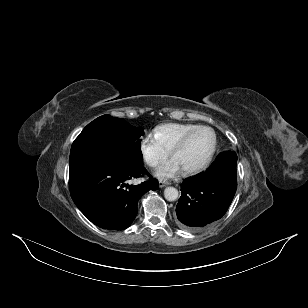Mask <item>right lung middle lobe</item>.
<instances>
[{"label":"right lung middle lobe","instance_id":"right-lung-middle-lobe-1","mask_svg":"<svg viewBox=\"0 0 308 308\" xmlns=\"http://www.w3.org/2000/svg\"><path fill=\"white\" fill-rule=\"evenodd\" d=\"M142 128L124 119L103 115L89 123L72 144L69 165L113 163L141 165Z\"/></svg>","mask_w":308,"mask_h":308}]
</instances>
